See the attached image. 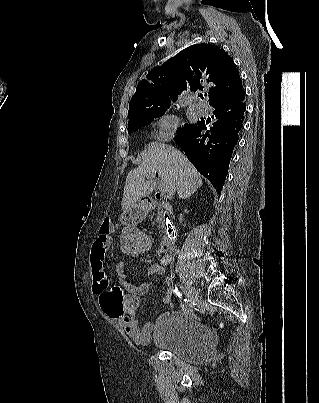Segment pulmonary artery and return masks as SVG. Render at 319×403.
<instances>
[{
  "mask_svg": "<svg viewBox=\"0 0 319 403\" xmlns=\"http://www.w3.org/2000/svg\"><path fill=\"white\" fill-rule=\"evenodd\" d=\"M195 110L200 115H206L209 111L208 106L205 103H197L195 105Z\"/></svg>",
  "mask_w": 319,
  "mask_h": 403,
  "instance_id": "pulmonary-artery-1",
  "label": "pulmonary artery"
}]
</instances>
